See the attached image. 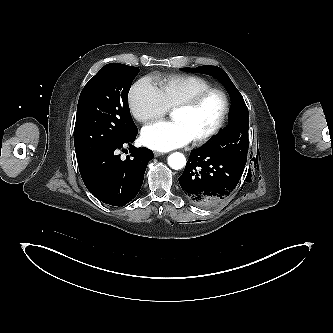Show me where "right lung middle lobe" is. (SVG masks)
<instances>
[{"label":"right lung middle lobe","mask_w":333,"mask_h":333,"mask_svg":"<svg viewBox=\"0 0 333 333\" xmlns=\"http://www.w3.org/2000/svg\"><path fill=\"white\" fill-rule=\"evenodd\" d=\"M139 71L138 67L107 64L85 85L74 128L78 162L123 141L137 130L129 111L128 93Z\"/></svg>","instance_id":"1"}]
</instances>
